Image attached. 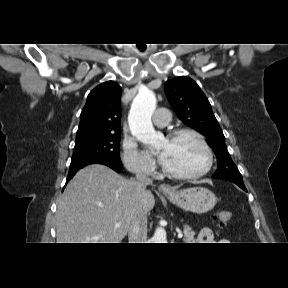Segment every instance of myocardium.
Segmentation results:
<instances>
[{
    "instance_id": "1",
    "label": "myocardium",
    "mask_w": 288,
    "mask_h": 288,
    "mask_svg": "<svg viewBox=\"0 0 288 288\" xmlns=\"http://www.w3.org/2000/svg\"><path fill=\"white\" fill-rule=\"evenodd\" d=\"M185 135L192 136L193 138H195L200 143V145L204 149L206 156H207L206 166L202 170L195 172V173H180V172H176V171L168 169L162 163V165H161L162 171L165 175L172 177V178H176V179H181V180L198 179V178L206 175L207 173H209L210 170L212 169L213 163H214V154H213L212 148L210 147V145L207 142V140L205 139V137L200 132H198L194 129H191V128L176 129L167 135V139L175 140V139L182 137V136H185Z\"/></svg>"
}]
</instances>
